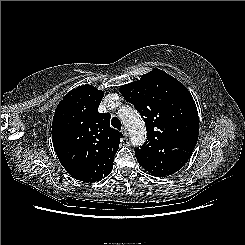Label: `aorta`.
I'll use <instances>...</instances> for the list:
<instances>
[{
	"instance_id": "obj_1",
	"label": "aorta",
	"mask_w": 245,
	"mask_h": 245,
	"mask_svg": "<svg viewBox=\"0 0 245 245\" xmlns=\"http://www.w3.org/2000/svg\"><path fill=\"white\" fill-rule=\"evenodd\" d=\"M120 118L128 129L131 144L141 146L146 139V129L139 113L130 107H124L120 112Z\"/></svg>"
}]
</instances>
